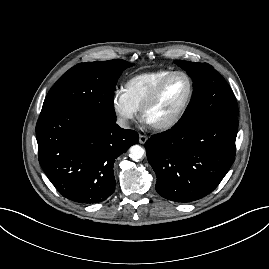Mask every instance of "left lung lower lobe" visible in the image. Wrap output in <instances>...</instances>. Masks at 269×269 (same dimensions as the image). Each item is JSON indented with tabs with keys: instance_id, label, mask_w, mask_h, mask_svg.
I'll return each mask as SVG.
<instances>
[{
	"instance_id": "left-lung-lower-lobe-1",
	"label": "left lung lower lobe",
	"mask_w": 269,
	"mask_h": 269,
	"mask_svg": "<svg viewBox=\"0 0 269 269\" xmlns=\"http://www.w3.org/2000/svg\"><path fill=\"white\" fill-rule=\"evenodd\" d=\"M237 129L236 115L221 114L153 135L145 148L157 193L181 203L210 194L234 161Z\"/></svg>"
}]
</instances>
